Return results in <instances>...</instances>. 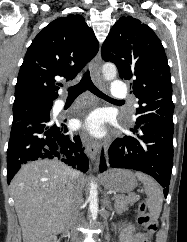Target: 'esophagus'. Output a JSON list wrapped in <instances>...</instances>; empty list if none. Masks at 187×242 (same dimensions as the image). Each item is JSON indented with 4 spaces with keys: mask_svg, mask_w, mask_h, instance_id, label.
Masks as SVG:
<instances>
[{
    "mask_svg": "<svg viewBox=\"0 0 187 242\" xmlns=\"http://www.w3.org/2000/svg\"><path fill=\"white\" fill-rule=\"evenodd\" d=\"M101 64H102V59H101V53L99 51L91 64V70L94 76L100 73ZM82 139L85 145V150L87 155L89 156L92 162H95L97 155L99 153V143L91 139L86 133H83Z\"/></svg>",
    "mask_w": 187,
    "mask_h": 242,
    "instance_id": "1",
    "label": "esophagus"
}]
</instances>
